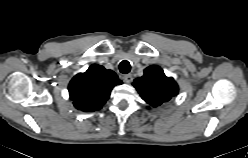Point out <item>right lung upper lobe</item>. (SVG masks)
Masks as SVG:
<instances>
[{
  "mask_svg": "<svg viewBox=\"0 0 248 158\" xmlns=\"http://www.w3.org/2000/svg\"><path fill=\"white\" fill-rule=\"evenodd\" d=\"M119 84L122 81L112 70L93 64L85 73H79L71 80L70 99L78 110H99L109 99L112 88Z\"/></svg>",
  "mask_w": 248,
  "mask_h": 158,
  "instance_id": "obj_1",
  "label": "right lung upper lobe"
}]
</instances>
